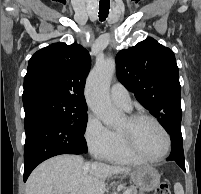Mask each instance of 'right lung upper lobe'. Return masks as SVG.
I'll list each match as a JSON object with an SVG mask.
<instances>
[{
  "instance_id": "obj_1",
  "label": "right lung upper lobe",
  "mask_w": 201,
  "mask_h": 194,
  "mask_svg": "<svg viewBox=\"0 0 201 194\" xmlns=\"http://www.w3.org/2000/svg\"><path fill=\"white\" fill-rule=\"evenodd\" d=\"M89 69V53L77 43H54L37 51L28 63L23 103L55 96L86 105L84 84Z\"/></svg>"
}]
</instances>
